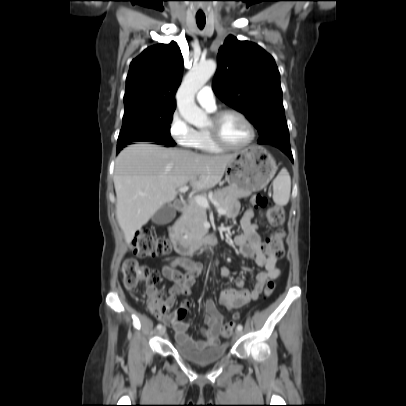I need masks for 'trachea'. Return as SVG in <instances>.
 <instances>
[{
  "label": "trachea",
  "instance_id": "1",
  "mask_svg": "<svg viewBox=\"0 0 406 406\" xmlns=\"http://www.w3.org/2000/svg\"><path fill=\"white\" fill-rule=\"evenodd\" d=\"M197 25L200 29H203L205 26V18H196Z\"/></svg>",
  "mask_w": 406,
  "mask_h": 406
}]
</instances>
